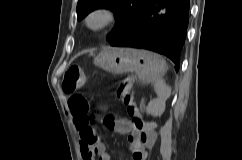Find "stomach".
I'll return each instance as SVG.
<instances>
[{
    "mask_svg": "<svg viewBox=\"0 0 242 160\" xmlns=\"http://www.w3.org/2000/svg\"><path fill=\"white\" fill-rule=\"evenodd\" d=\"M154 53L131 48H113L102 51L94 64L115 74L135 71L144 82H151L154 71L151 69Z\"/></svg>",
    "mask_w": 242,
    "mask_h": 160,
    "instance_id": "obj_1",
    "label": "stomach"
}]
</instances>
